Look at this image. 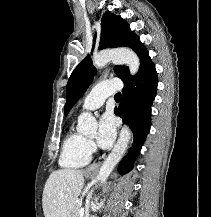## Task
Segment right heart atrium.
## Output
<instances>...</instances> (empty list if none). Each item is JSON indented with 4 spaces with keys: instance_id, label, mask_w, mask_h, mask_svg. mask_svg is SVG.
<instances>
[{
    "instance_id": "right-heart-atrium-1",
    "label": "right heart atrium",
    "mask_w": 211,
    "mask_h": 217,
    "mask_svg": "<svg viewBox=\"0 0 211 217\" xmlns=\"http://www.w3.org/2000/svg\"><path fill=\"white\" fill-rule=\"evenodd\" d=\"M87 145H88L90 152H93L95 149L94 143L91 140H87Z\"/></svg>"
}]
</instances>
